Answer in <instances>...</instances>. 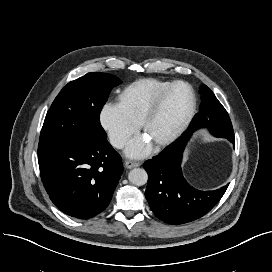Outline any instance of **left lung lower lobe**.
<instances>
[{
    "mask_svg": "<svg viewBox=\"0 0 272 272\" xmlns=\"http://www.w3.org/2000/svg\"><path fill=\"white\" fill-rule=\"evenodd\" d=\"M199 128L198 123H191L179 139L144 163L148 173L147 201L156 217L168 224L179 225L201 218L219 202L228 187L227 184L214 191H200L191 187L182 175L184 147L192 132ZM213 135L234 142V132Z\"/></svg>",
    "mask_w": 272,
    "mask_h": 272,
    "instance_id": "0a47b994",
    "label": "left lung lower lobe"
}]
</instances>
